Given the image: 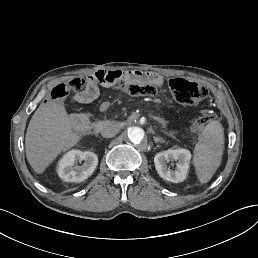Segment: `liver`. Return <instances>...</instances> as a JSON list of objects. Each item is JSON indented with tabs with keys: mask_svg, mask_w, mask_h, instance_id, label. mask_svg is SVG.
Segmentation results:
<instances>
[{
	"mask_svg": "<svg viewBox=\"0 0 258 258\" xmlns=\"http://www.w3.org/2000/svg\"><path fill=\"white\" fill-rule=\"evenodd\" d=\"M79 114L68 115L62 103H42L33 114L25 137L26 157L33 170L42 174L62 151L75 146L80 135L75 131Z\"/></svg>",
	"mask_w": 258,
	"mask_h": 258,
	"instance_id": "liver-1",
	"label": "liver"
}]
</instances>
